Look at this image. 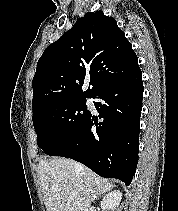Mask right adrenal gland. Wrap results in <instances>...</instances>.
I'll use <instances>...</instances> for the list:
<instances>
[{"instance_id":"1","label":"right adrenal gland","mask_w":178,"mask_h":211,"mask_svg":"<svg viewBox=\"0 0 178 211\" xmlns=\"http://www.w3.org/2000/svg\"><path fill=\"white\" fill-rule=\"evenodd\" d=\"M100 196H101V194H100V195H98V196L96 197V200H97Z\"/></svg>"}]
</instances>
